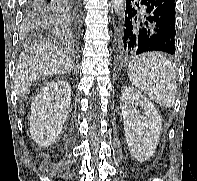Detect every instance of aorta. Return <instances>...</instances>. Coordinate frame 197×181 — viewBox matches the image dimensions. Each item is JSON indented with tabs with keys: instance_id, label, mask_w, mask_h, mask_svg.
<instances>
[{
	"instance_id": "aorta-1",
	"label": "aorta",
	"mask_w": 197,
	"mask_h": 181,
	"mask_svg": "<svg viewBox=\"0 0 197 181\" xmlns=\"http://www.w3.org/2000/svg\"><path fill=\"white\" fill-rule=\"evenodd\" d=\"M123 1L124 0H111V3L113 5V8L117 14H119L122 11L123 8Z\"/></svg>"
}]
</instances>
